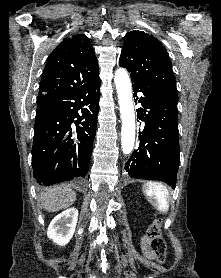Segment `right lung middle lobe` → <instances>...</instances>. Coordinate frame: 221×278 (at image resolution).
<instances>
[{"label":"right lung middle lobe","instance_id":"right-lung-middle-lobe-1","mask_svg":"<svg viewBox=\"0 0 221 278\" xmlns=\"http://www.w3.org/2000/svg\"><path fill=\"white\" fill-rule=\"evenodd\" d=\"M42 111H43L42 109H37L36 114H38V113H40Z\"/></svg>","mask_w":221,"mask_h":278}]
</instances>
